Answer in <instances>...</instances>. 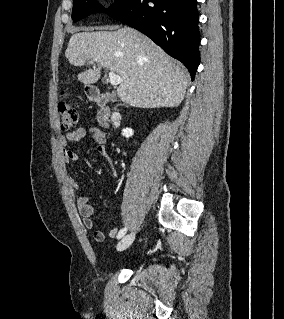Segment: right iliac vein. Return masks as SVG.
<instances>
[{
    "label": "right iliac vein",
    "mask_w": 284,
    "mask_h": 319,
    "mask_svg": "<svg viewBox=\"0 0 284 319\" xmlns=\"http://www.w3.org/2000/svg\"><path fill=\"white\" fill-rule=\"evenodd\" d=\"M135 239V233H130L126 236H124L117 244V250L123 251L127 249L134 241Z\"/></svg>",
    "instance_id": "right-iliac-vein-1"
}]
</instances>
